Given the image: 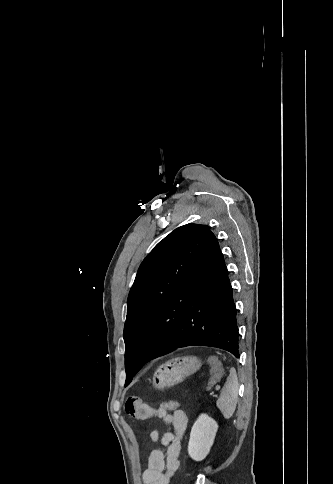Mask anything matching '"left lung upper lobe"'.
<instances>
[{
	"label": "left lung upper lobe",
	"instance_id": "5c2ea615",
	"mask_svg": "<svg viewBox=\"0 0 333 484\" xmlns=\"http://www.w3.org/2000/svg\"><path fill=\"white\" fill-rule=\"evenodd\" d=\"M210 232L207 225L187 224L178 227L160 241L141 263L128 296L124 325L125 385L140 370L137 354L154 317L167 299L188 260Z\"/></svg>",
	"mask_w": 333,
	"mask_h": 484
}]
</instances>
